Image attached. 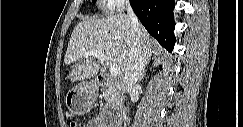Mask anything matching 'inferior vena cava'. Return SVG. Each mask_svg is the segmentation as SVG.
I'll use <instances>...</instances> for the list:
<instances>
[{"instance_id": "inferior-vena-cava-1", "label": "inferior vena cava", "mask_w": 243, "mask_h": 127, "mask_svg": "<svg viewBox=\"0 0 243 127\" xmlns=\"http://www.w3.org/2000/svg\"><path fill=\"white\" fill-rule=\"evenodd\" d=\"M126 7H127V15L132 22L135 34L132 40L127 68L124 73L123 89L126 92L131 93L133 90H135L136 84L140 78L142 69L144 67V56H143L144 49L141 45L140 37L138 35L140 31V24L138 18L135 15L128 1L126 2Z\"/></svg>"}]
</instances>
